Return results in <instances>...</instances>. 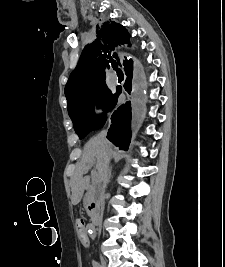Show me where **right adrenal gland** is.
<instances>
[{"instance_id": "2a0ac1e0", "label": "right adrenal gland", "mask_w": 225, "mask_h": 267, "mask_svg": "<svg viewBox=\"0 0 225 267\" xmlns=\"http://www.w3.org/2000/svg\"><path fill=\"white\" fill-rule=\"evenodd\" d=\"M111 172H112V168H110V170H109V176H110V178H111Z\"/></svg>"}]
</instances>
